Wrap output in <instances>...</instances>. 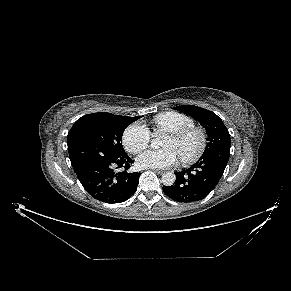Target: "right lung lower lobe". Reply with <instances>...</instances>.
<instances>
[{
  "label": "right lung lower lobe",
  "instance_id": "obj_1",
  "mask_svg": "<svg viewBox=\"0 0 291 291\" xmlns=\"http://www.w3.org/2000/svg\"><path fill=\"white\" fill-rule=\"evenodd\" d=\"M68 152L79 181L95 199L120 203L135 193L141 173L128 171L133 160L126 153H118L88 138L68 142Z\"/></svg>",
  "mask_w": 291,
  "mask_h": 291
}]
</instances>
